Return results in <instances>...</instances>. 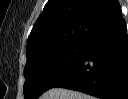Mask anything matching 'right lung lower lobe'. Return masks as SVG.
<instances>
[{
  "label": "right lung lower lobe",
  "instance_id": "obj_1",
  "mask_svg": "<svg viewBox=\"0 0 128 99\" xmlns=\"http://www.w3.org/2000/svg\"><path fill=\"white\" fill-rule=\"evenodd\" d=\"M85 43L74 68L53 87L81 91L101 99L128 98V36L121 11Z\"/></svg>",
  "mask_w": 128,
  "mask_h": 99
}]
</instances>
